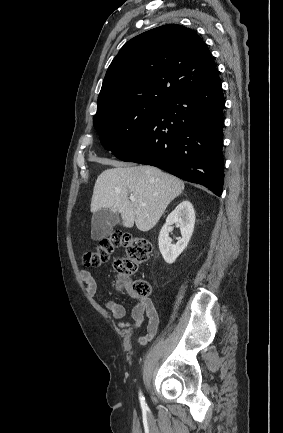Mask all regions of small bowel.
<instances>
[{
    "instance_id": "small-bowel-1",
    "label": "small bowel",
    "mask_w": 283,
    "mask_h": 433,
    "mask_svg": "<svg viewBox=\"0 0 283 433\" xmlns=\"http://www.w3.org/2000/svg\"><path fill=\"white\" fill-rule=\"evenodd\" d=\"M80 278L86 285V292L89 296L94 297L97 293V282L88 270L80 271ZM126 283H128L126 281ZM128 285V284H127ZM128 295L134 300V306L131 310V322H119L118 327L124 330H137L143 323L145 317L147 318V333L145 336L140 337L139 341L142 344L151 340L158 332L159 315L156 307L150 297H140L136 295L127 286ZM106 307L111 311L112 316L120 320L125 317V307L115 301H106Z\"/></svg>"
}]
</instances>
